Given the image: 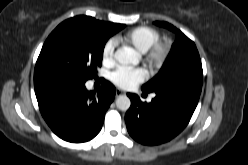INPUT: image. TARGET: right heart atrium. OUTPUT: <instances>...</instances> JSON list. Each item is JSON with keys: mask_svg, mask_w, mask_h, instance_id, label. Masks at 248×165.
<instances>
[{"mask_svg": "<svg viewBox=\"0 0 248 165\" xmlns=\"http://www.w3.org/2000/svg\"><path fill=\"white\" fill-rule=\"evenodd\" d=\"M116 41L110 39L106 42L102 49V61L106 65H111L114 60V53H115Z\"/></svg>", "mask_w": 248, "mask_h": 165, "instance_id": "obj_1", "label": "right heart atrium"}]
</instances>
